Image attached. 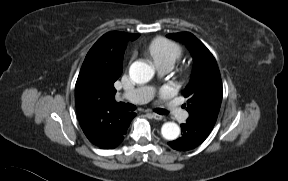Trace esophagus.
I'll use <instances>...</instances> for the list:
<instances>
[{
    "label": "esophagus",
    "instance_id": "esophagus-1",
    "mask_svg": "<svg viewBox=\"0 0 288 181\" xmlns=\"http://www.w3.org/2000/svg\"><path fill=\"white\" fill-rule=\"evenodd\" d=\"M153 118L156 120H162L164 117L163 115L157 114V113H151Z\"/></svg>",
    "mask_w": 288,
    "mask_h": 181
}]
</instances>
